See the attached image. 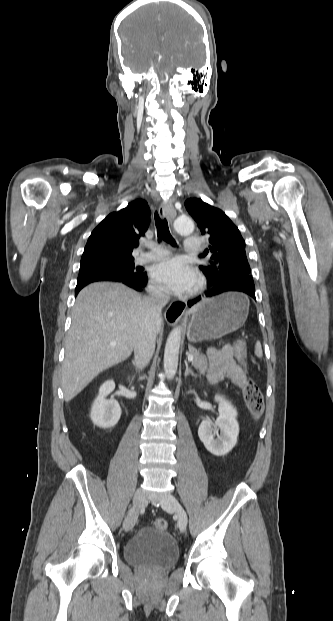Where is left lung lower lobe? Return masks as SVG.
I'll return each mask as SVG.
<instances>
[{"instance_id": "obj_1", "label": "left lung lower lobe", "mask_w": 333, "mask_h": 621, "mask_svg": "<svg viewBox=\"0 0 333 621\" xmlns=\"http://www.w3.org/2000/svg\"><path fill=\"white\" fill-rule=\"evenodd\" d=\"M211 288L205 292L206 297H213L227 291H238L250 295L255 298V286L251 279L232 277L221 283L210 286ZM201 300V296L188 302L191 307Z\"/></svg>"}]
</instances>
